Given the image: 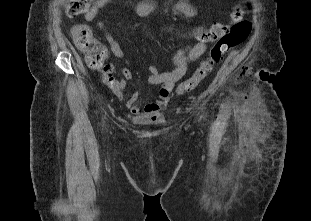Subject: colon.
<instances>
[{
    "label": "colon",
    "instance_id": "5ec220e1",
    "mask_svg": "<svg viewBox=\"0 0 311 221\" xmlns=\"http://www.w3.org/2000/svg\"><path fill=\"white\" fill-rule=\"evenodd\" d=\"M92 2L93 0L62 1L61 6L64 12H70V17H89L90 6L86 4H92ZM247 12H250V17L254 16L253 10H248ZM230 17L233 22L237 18H242L243 13H240V9L234 8ZM232 22H216L208 31L199 34L198 40L201 42L213 41L212 37L215 34L220 36V41H215L209 57L199 65L195 73L186 81L176 86L174 89L175 95L186 94L199 86L212 72L214 66L221 61L223 54L236 48L248 37L250 34V24L247 20L237 23L229 36H224V31L229 28L228 26ZM71 33L76 47L85 54L88 66L95 71H101L104 79L109 78L111 76V70L105 68L107 51L104 46L96 45L90 26L85 23L75 25L72 27Z\"/></svg>",
    "mask_w": 311,
    "mask_h": 221
}]
</instances>
